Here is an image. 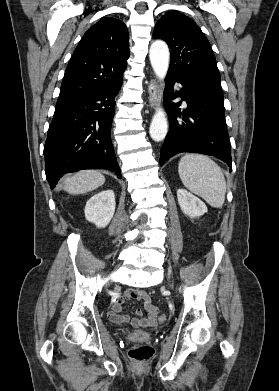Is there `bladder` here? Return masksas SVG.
<instances>
[{
	"instance_id": "obj_1",
	"label": "bladder",
	"mask_w": 279,
	"mask_h": 391,
	"mask_svg": "<svg viewBox=\"0 0 279 391\" xmlns=\"http://www.w3.org/2000/svg\"><path fill=\"white\" fill-rule=\"evenodd\" d=\"M131 335L137 339H143L148 336V333L144 331H133Z\"/></svg>"
}]
</instances>
